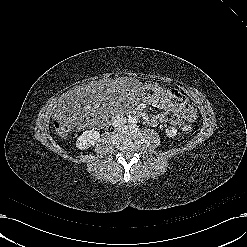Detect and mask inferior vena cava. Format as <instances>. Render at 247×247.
<instances>
[{
	"instance_id": "602c4592",
	"label": "inferior vena cava",
	"mask_w": 247,
	"mask_h": 247,
	"mask_svg": "<svg viewBox=\"0 0 247 247\" xmlns=\"http://www.w3.org/2000/svg\"><path fill=\"white\" fill-rule=\"evenodd\" d=\"M126 123V118L125 117H117L116 119L113 120L112 125L114 127L123 125Z\"/></svg>"
}]
</instances>
